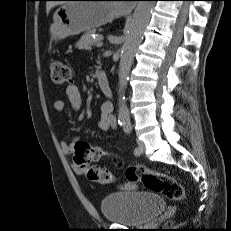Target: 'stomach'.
Returning a JSON list of instances; mask_svg holds the SVG:
<instances>
[{
  "instance_id": "obj_1",
  "label": "stomach",
  "mask_w": 231,
  "mask_h": 231,
  "mask_svg": "<svg viewBox=\"0 0 231 231\" xmlns=\"http://www.w3.org/2000/svg\"><path fill=\"white\" fill-rule=\"evenodd\" d=\"M118 3L100 1H73L60 6L53 15L50 26L55 41L97 28L121 16Z\"/></svg>"
}]
</instances>
